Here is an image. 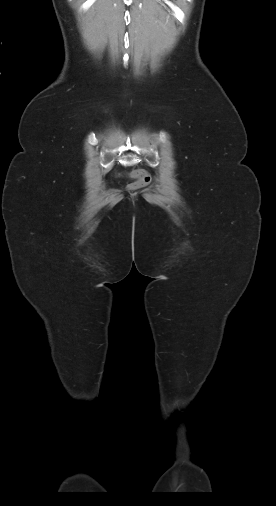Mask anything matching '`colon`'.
Instances as JSON below:
<instances>
[{
  "mask_svg": "<svg viewBox=\"0 0 276 506\" xmlns=\"http://www.w3.org/2000/svg\"><path fill=\"white\" fill-rule=\"evenodd\" d=\"M130 176L135 179V181L130 185V188L133 190L140 189L150 182L149 175L142 169L132 172Z\"/></svg>",
  "mask_w": 276,
  "mask_h": 506,
  "instance_id": "5ec220e1",
  "label": "colon"
}]
</instances>
